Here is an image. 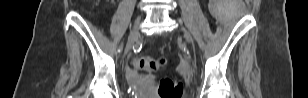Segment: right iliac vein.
<instances>
[{
	"instance_id": "63e3f726",
	"label": "right iliac vein",
	"mask_w": 308,
	"mask_h": 98,
	"mask_svg": "<svg viewBox=\"0 0 308 98\" xmlns=\"http://www.w3.org/2000/svg\"><path fill=\"white\" fill-rule=\"evenodd\" d=\"M140 20H141V17H138L135 21V25L133 27V30H132L130 36H129L128 43H127L126 48H125V54H127L130 51V49L132 48L135 40L137 39V37L139 35L138 26H139Z\"/></svg>"
}]
</instances>
